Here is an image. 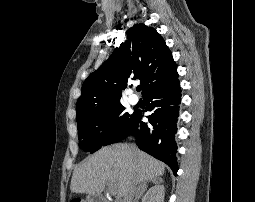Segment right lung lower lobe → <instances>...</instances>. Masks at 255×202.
Returning <instances> with one entry per match:
<instances>
[{
    "instance_id": "1",
    "label": "right lung lower lobe",
    "mask_w": 255,
    "mask_h": 202,
    "mask_svg": "<svg viewBox=\"0 0 255 202\" xmlns=\"http://www.w3.org/2000/svg\"><path fill=\"white\" fill-rule=\"evenodd\" d=\"M149 123L142 121V112L135 111L133 122L124 139L133 136L138 147L153 157L166 163L177 173V146L174 140L177 132L176 122L179 116L181 101L180 84L178 78L158 89L143 95Z\"/></svg>"
}]
</instances>
